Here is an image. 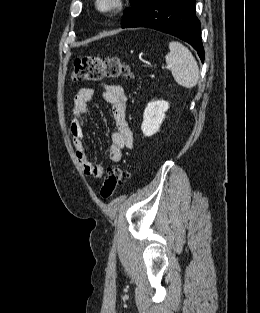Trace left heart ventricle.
Masks as SVG:
<instances>
[{
  "instance_id": "1",
  "label": "left heart ventricle",
  "mask_w": 260,
  "mask_h": 313,
  "mask_svg": "<svg viewBox=\"0 0 260 313\" xmlns=\"http://www.w3.org/2000/svg\"><path fill=\"white\" fill-rule=\"evenodd\" d=\"M103 6L107 5V0H104V2L102 3Z\"/></svg>"
}]
</instances>
